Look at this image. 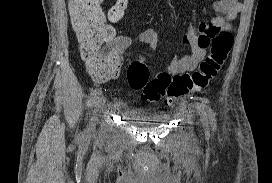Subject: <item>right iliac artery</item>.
<instances>
[{
  "label": "right iliac artery",
  "mask_w": 272,
  "mask_h": 183,
  "mask_svg": "<svg viewBox=\"0 0 272 183\" xmlns=\"http://www.w3.org/2000/svg\"><path fill=\"white\" fill-rule=\"evenodd\" d=\"M101 94H102L101 89H94V90L90 93V95H89L88 102H87V106H88L89 108H91V107L94 105L96 99H97Z\"/></svg>",
  "instance_id": "1"
}]
</instances>
